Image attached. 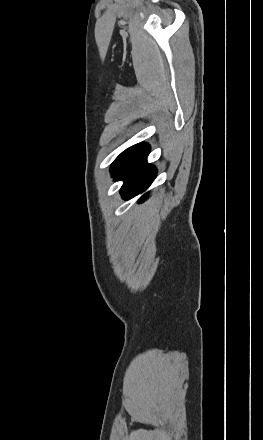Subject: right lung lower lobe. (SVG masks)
I'll list each match as a JSON object with an SVG mask.
<instances>
[{"label": "right lung lower lobe", "mask_w": 263, "mask_h": 440, "mask_svg": "<svg viewBox=\"0 0 263 440\" xmlns=\"http://www.w3.org/2000/svg\"><path fill=\"white\" fill-rule=\"evenodd\" d=\"M150 147L146 143L136 145L126 160L113 173L115 180H123V198L130 199L144 192L156 177V169L147 163ZM144 199V198H143Z\"/></svg>", "instance_id": "right-lung-lower-lobe-1"}]
</instances>
